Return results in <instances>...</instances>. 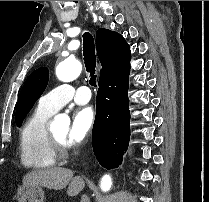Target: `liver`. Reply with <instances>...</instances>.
<instances>
[{
  "instance_id": "liver-1",
  "label": "liver",
  "mask_w": 209,
  "mask_h": 202,
  "mask_svg": "<svg viewBox=\"0 0 209 202\" xmlns=\"http://www.w3.org/2000/svg\"><path fill=\"white\" fill-rule=\"evenodd\" d=\"M73 174L72 170L60 167L34 170L23 177V184L54 190H62L68 186L67 195L76 196L84 188L85 182L80 176L73 177Z\"/></svg>"
}]
</instances>
